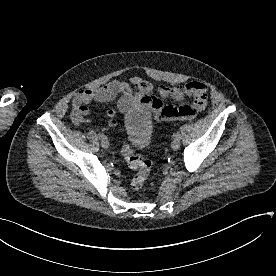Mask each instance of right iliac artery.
Here are the masks:
<instances>
[{"instance_id":"right-iliac-artery-1","label":"right iliac artery","mask_w":276,"mask_h":276,"mask_svg":"<svg viewBox=\"0 0 276 276\" xmlns=\"http://www.w3.org/2000/svg\"><path fill=\"white\" fill-rule=\"evenodd\" d=\"M98 137L100 138V139H106L107 137L104 135V134H102V133H99L98 134Z\"/></svg>"}]
</instances>
